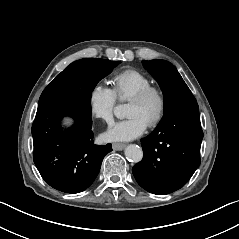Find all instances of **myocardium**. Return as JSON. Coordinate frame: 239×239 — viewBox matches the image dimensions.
<instances>
[{
	"label": "myocardium",
	"instance_id": "myocardium-1",
	"mask_svg": "<svg viewBox=\"0 0 239 239\" xmlns=\"http://www.w3.org/2000/svg\"><path fill=\"white\" fill-rule=\"evenodd\" d=\"M150 96H155L159 103L157 113L148 124L149 127H155L162 121L167 110V96L164 89L159 85L150 84L137 91L129 101L144 102Z\"/></svg>",
	"mask_w": 239,
	"mask_h": 239
}]
</instances>
